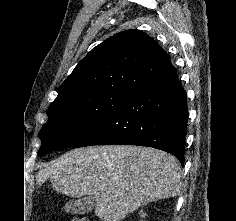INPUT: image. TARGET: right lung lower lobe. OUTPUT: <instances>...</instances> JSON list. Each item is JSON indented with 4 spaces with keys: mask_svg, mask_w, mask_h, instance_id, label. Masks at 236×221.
<instances>
[{
    "mask_svg": "<svg viewBox=\"0 0 236 221\" xmlns=\"http://www.w3.org/2000/svg\"><path fill=\"white\" fill-rule=\"evenodd\" d=\"M187 95L175 68L149 82L73 145L124 144L157 148L183 164Z\"/></svg>",
    "mask_w": 236,
    "mask_h": 221,
    "instance_id": "98d812e1",
    "label": "right lung lower lobe"
}]
</instances>
